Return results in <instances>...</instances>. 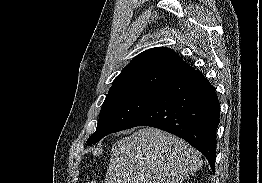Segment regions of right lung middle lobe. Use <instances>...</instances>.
I'll return each mask as SVG.
<instances>
[{"label": "right lung middle lobe", "mask_w": 262, "mask_h": 183, "mask_svg": "<svg viewBox=\"0 0 262 183\" xmlns=\"http://www.w3.org/2000/svg\"><path fill=\"white\" fill-rule=\"evenodd\" d=\"M156 90H131L108 94L102 104L95 133L87 140L88 145L104 136L123 130L154 98Z\"/></svg>", "instance_id": "1"}]
</instances>
